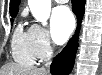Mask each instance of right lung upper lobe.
<instances>
[{"mask_svg": "<svg viewBox=\"0 0 102 75\" xmlns=\"http://www.w3.org/2000/svg\"><path fill=\"white\" fill-rule=\"evenodd\" d=\"M19 3H20V0H10V13H11V16L17 14Z\"/></svg>", "mask_w": 102, "mask_h": 75, "instance_id": "cb5924a9", "label": "right lung upper lobe"}]
</instances>
